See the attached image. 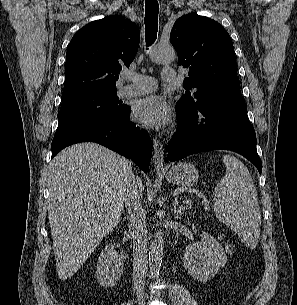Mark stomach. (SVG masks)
<instances>
[{
    "instance_id": "stomach-1",
    "label": "stomach",
    "mask_w": 297,
    "mask_h": 305,
    "mask_svg": "<svg viewBox=\"0 0 297 305\" xmlns=\"http://www.w3.org/2000/svg\"><path fill=\"white\" fill-rule=\"evenodd\" d=\"M163 174L169 182L181 187L193 186L198 180L196 167L188 162L179 163Z\"/></svg>"
}]
</instances>
